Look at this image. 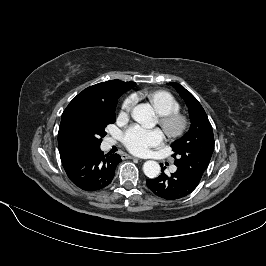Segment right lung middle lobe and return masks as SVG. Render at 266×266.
<instances>
[{"mask_svg":"<svg viewBox=\"0 0 266 266\" xmlns=\"http://www.w3.org/2000/svg\"><path fill=\"white\" fill-rule=\"evenodd\" d=\"M118 98L111 105L78 103L68 111L64 128L76 150L100 147L105 127L115 122Z\"/></svg>","mask_w":266,"mask_h":266,"instance_id":"dd1d6c3e","label":"right lung middle lobe"}]
</instances>
